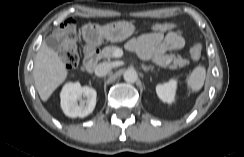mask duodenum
<instances>
[{
  "instance_id": "obj_1",
  "label": "duodenum",
  "mask_w": 244,
  "mask_h": 157,
  "mask_svg": "<svg viewBox=\"0 0 244 157\" xmlns=\"http://www.w3.org/2000/svg\"><path fill=\"white\" fill-rule=\"evenodd\" d=\"M100 52L96 48H90L86 51L85 59L82 65V70L86 73H91L98 63Z\"/></svg>"
}]
</instances>
